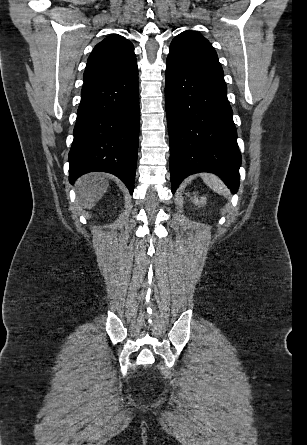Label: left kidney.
<instances>
[{
  "label": "left kidney",
  "instance_id": "1",
  "mask_svg": "<svg viewBox=\"0 0 307 445\" xmlns=\"http://www.w3.org/2000/svg\"><path fill=\"white\" fill-rule=\"evenodd\" d=\"M186 194H188V192H186ZM192 200L193 202H196V204H205L206 196H200V198H198V196H193Z\"/></svg>",
  "mask_w": 307,
  "mask_h": 445
}]
</instances>
